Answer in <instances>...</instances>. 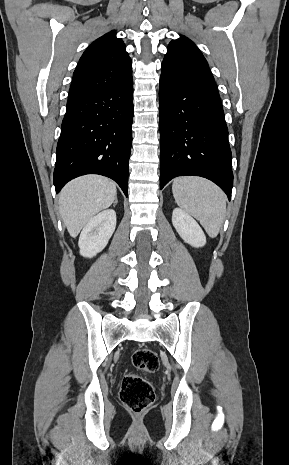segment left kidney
I'll list each match as a JSON object with an SVG mask.
<instances>
[{"label": "left kidney", "mask_w": 289, "mask_h": 465, "mask_svg": "<svg viewBox=\"0 0 289 465\" xmlns=\"http://www.w3.org/2000/svg\"><path fill=\"white\" fill-rule=\"evenodd\" d=\"M172 223L186 243L196 248L206 244V236L199 224L182 209L175 208L173 210Z\"/></svg>", "instance_id": "left-kidney-1"}]
</instances>
